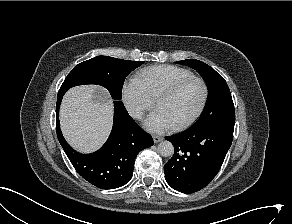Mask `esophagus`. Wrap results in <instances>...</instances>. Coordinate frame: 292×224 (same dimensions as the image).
I'll use <instances>...</instances> for the list:
<instances>
[{
    "instance_id": "34e87169",
    "label": "esophagus",
    "mask_w": 292,
    "mask_h": 224,
    "mask_svg": "<svg viewBox=\"0 0 292 224\" xmlns=\"http://www.w3.org/2000/svg\"><path fill=\"white\" fill-rule=\"evenodd\" d=\"M153 140H154L155 143H158V142L163 140V137L157 136V135H153Z\"/></svg>"
}]
</instances>
